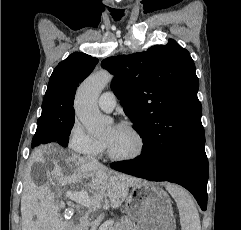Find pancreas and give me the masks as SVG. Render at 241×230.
Here are the masks:
<instances>
[{
    "mask_svg": "<svg viewBox=\"0 0 241 230\" xmlns=\"http://www.w3.org/2000/svg\"><path fill=\"white\" fill-rule=\"evenodd\" d=\"M88 216L80 219L79 223L74 226L73 230H88L90 226ZM135 223L129 218H122L121 221L116 222L114 226H109L108 230H134Z\"/></svg>",
    "mask_w": 241,
    "mask_h": 230,
    "instance_id": "pancreas-1",
    "label": "pancreas"
}]
</instances>
